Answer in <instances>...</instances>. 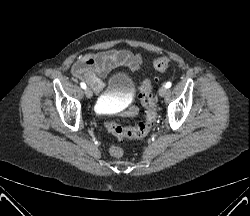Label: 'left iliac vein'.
<instances>
[{
    "mask_svg": "<svg viewBox=\"0 0 250 216\" xmlns=\"http://www.w3.org/2000/svg\"><path fill=\"white\" fill-rule=\"evenodd\" d=\"M158 93H159V96H161V97L165 96L166 93H167V88H166L165 86H162V87L159 89Z\"/></svg>",
    "mask_w": 250,
    "mask_h": 216,
    "instance_id": "obj_1",
    "label": "left iliac vein"
}]
</instances>
